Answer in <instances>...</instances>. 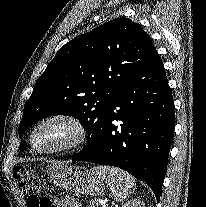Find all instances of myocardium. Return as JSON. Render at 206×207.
Returning <instances> with one entry per match:
<instances>
[{"instance_id": "myocardium-1", "label": "myocardium", "mask_w": 206, "mask_h": 207, "mask_svg": "<svg viewBox=\"0 0 206 207\" xmlns=\"http://www.w3.org/2000/svg\"><path fill=\"white\" fill-rule=\"evenodd\" d=\"M53 121H60L68 124L73 130V136L69 141L65 144L55 147V148H48V149H41L37 148L34 144V136L38 129H40L44 124L53 122ZM88 139V130L85 124L76 116L70 114H53L49 115L43 119H41L31 130L29 135V144L32 150L39 154H60L65 152H70L76 149L81 148Z\"/></svg>"}]
</instances>
